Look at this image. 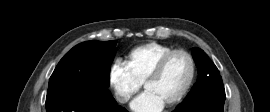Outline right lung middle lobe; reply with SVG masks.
Segmentation results:
<instances>
[{"label":"right lung middle lobe","instance_id":"right-lung-middle-lobe-1","mask_svg":"<svg viewBox=\"0 0 270 112\" xmlns=\"http://www.w3.org/2000/svg\"><path fill=\"white\" fill-rule=\"evenodd\" d=\"M116 53L115 41H87L73 47L50 77L47 97L74 88L101 100L113 98L109 86L110 66Z\"/></svg>","mask_w":270,"mask_h":112}]
</instances>
